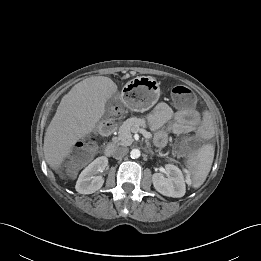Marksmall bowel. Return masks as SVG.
I'll return each instance as SVG.
<instances>
[{
	"mask_svg": "<svg viewBox=\"0 0 261 261\" xmlns=\"http://www.w3.org/2000/svg\"><path fill=\"white\" fill-rule=\"evenodd\" d=\"M149 127L156 131L155 144L166 146L169 134H186L194 132L204 139L213 135V125L208 115L201 116L195 109L173 110L165 102L158 103L147 116ZM168 124L167 129L163 127Z\"/></svg>",
	"mask_w": 261,
	"mask_h": 261,
	"instance_id": "small-bowel-1",
	"label": "small bowel"
}]
</instances>
